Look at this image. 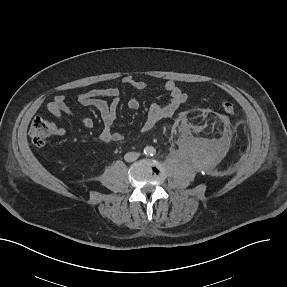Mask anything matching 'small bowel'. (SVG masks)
Returning a JSON list of instances; mask_svg holds the SVG:
<instances>
[{"mask_svg":"<svg viewBox=\"0 0 287 287\" xmlns=\"http://www.w3.org/2000/svg\"><path fill=\"white\" fill-rule=\"evenodd\" d=\"M122 83L131 86L138 91H142L146 88V83L144 81L130 75L124 76L122 78ZM164 89L170 96L169 101L165 104L154 103L149 107L145 121L142 125V131H149L162 119L172 117L180 106L186 102L187 94L176 81H167L164 85ZM120 101L121 93L118 87L93 89L79 93L76 96V102L78 104L95 108L99 112L104 126L98 136L102 142H122L124 140V135L122 133L113 130ZM127 106L131 110H137L140 107V102L137 98H131L128 100ZM47 110L52 116L58 119H61L64 115L70 116L78 120L87 129H91L94 126L92 118L81 115L75 111L67 104L66 98L63 95L55 96L47 104ZM63 132L64 130L61 128L59 133L62 134Z\"/></svg>","mask_w":287,"mask_h":287,"instance_id":"obj_1","label":"small bowel"}]
</instances>
